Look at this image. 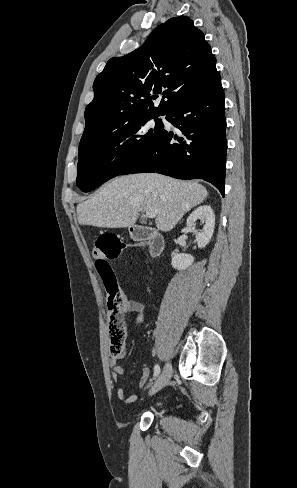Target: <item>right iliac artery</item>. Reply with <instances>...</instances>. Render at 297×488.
<instances>
[{
  "mask_svg": "<svg viewBox=\"0 0 297 488\" xmlns=\"http://www.w3.org/2000/svg\"><path fill=\"white\" fill-rule=\"evenodd\" d=\"M159 373H160V366H159L158 364H156V365L154 366V376H155V377H156V376H158V375H159Z\"/></svg>",
  "mask_w": 297,
  "mask_h": 488,
  "instance_id": "obj_1",
  "label": "right iliac artery"
}]
</instances>
